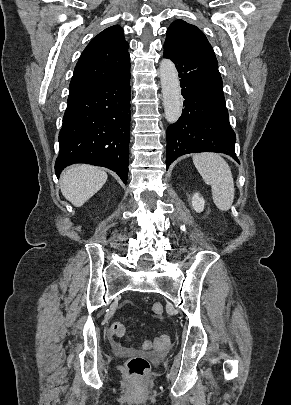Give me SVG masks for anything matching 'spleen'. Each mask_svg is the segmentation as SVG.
<instances>
[{"instance_id": "obj_1", "label": "spleen", "mask_w": 291, "mask_h": 405, "mask_svg": "<svg viewBox=\"0 0 291 405\" xmlns=\"http://www.w3.org/2000/svg\"><path fill=\"white\" fill-rule=\"evenodd\" d=\"M193 162L206 184L211 185L212 198L221 211L230 209L234 200V181L227 162L218 154L193 156Z\"/></svg>"}]
</instances>
